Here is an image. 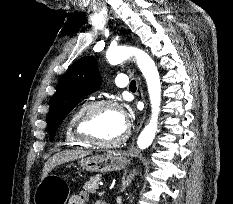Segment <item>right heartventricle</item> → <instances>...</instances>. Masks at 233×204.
<instances>
[{
  "instance_id": "1",
  "label": "right heart ventricle",
  "mask_w": 233,
  "mask_h": 204,
  "mask_svg": "<svg viewBox=\"0 0 233 204\" xmlns=\"http://www.w3.org/2000/svg\"><path fill=\"white\" fill-rule=\"evenodd\" d=\"M79 111L80 109H77L70 115L64 132V139L66 144L72 147H86L88 145L83 141H81L80 139H78L73 131L74 120Z\"/></svg>"
}]
</instances>
